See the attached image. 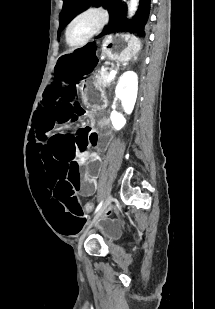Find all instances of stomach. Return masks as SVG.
Returning <instances> with one entry per match:
<instances>
[{"label":"stomach","mask_w":215,"mask_h":309,"mask_svg":"<svg viewBox=\"0 0 215 309\" xmlns=\"http://www.w3.org/2000/svg\"><path fill=\"white\" fill-rule=\"evenodd\" d=\"M141 47L140 40L128 33H115L106 36L102 40V56L115 62H127L137 55ZM84 96L91 102L103 101L104 92L100 85L98 75L87 79L82 86Z\"/></svg>","instance_id":"0dacf381"}]
</instances>
